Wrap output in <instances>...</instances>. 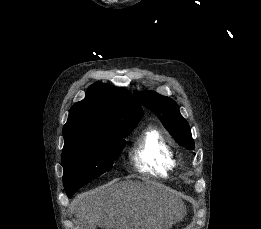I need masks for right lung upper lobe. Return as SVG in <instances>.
Wrapping results in <instances>:
<instances>
[{
  "mask_svg": "<svg viewBox=\"0 0 261 229\" xmlns=\"http://www.w3.org/2000/svg\"><path fill=\"white\" fill-rule=\"evenodd\" d=\"M141 107L125 88L95 83L86 97L74 104L63 127L64 146L87 139L105 138L106 128L137 124Z\"/></svg>",
  "mask_w": 261,
  "mask_h": 229,
  "instance_id": "right-lung-upper-lobe-1",
  "label": "right lung upper lobe"
}]
</instances>
